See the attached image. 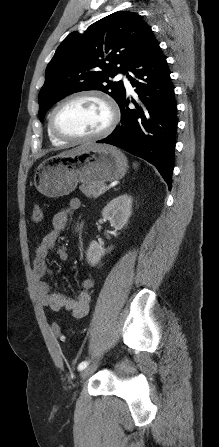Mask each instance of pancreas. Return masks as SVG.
<instances>
[{
  "label": "pancreas",
  "mask_w": 219,
  "mask_h": 447,
  "mask_svg": "<svg viewBox=\"0 0 219 447\" xmlns=\"http://www.w3.org/2000/svg\"><path fill=\"white\" fill-rule=\"evenodd\" d=\"M105 187L103 183H97V184H82L79 189L82 191L85 196L89 198H97L101 194L104 193L101 189Z\"/></svg>",
  "instance_id": "cf45deb5"
}]
</instances>
